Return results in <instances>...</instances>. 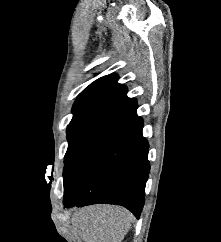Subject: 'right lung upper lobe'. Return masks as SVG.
Here are the masks:
<instances>
[{"instance_id": "obj_1", "label": "right lung upper lobe", "mask_w": 221, "mask_h": 242, "mask_svg": "<svg viewBox=\"0 0 221 242\" xmlns=\"http://www.w3.org/2000/svg\"><path fill=\"white\" fill-rule=\"evenodd\" d=\"M118 75L110 74L86 87L73 105L70 126L104 125L136 103L127 97V88L119 84Z\"/></svg>"}]
</instances>
